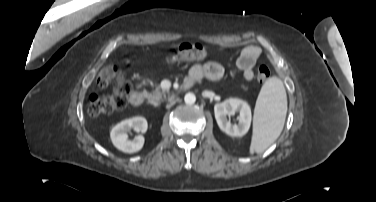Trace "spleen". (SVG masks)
I'll use <instances>...</instances> for the list:
<instances>
[{"label":"spleen","mask_w":376,"mask_h":202,"mask_svg":"<svg viewBox=\"0 0 376 202\" xmlns=\"http://www.w3.org/2000/svg\"><path fill=\"white\" fill-rule=\"evenodd\" d=\"M287 113V96L278 77L262 86L254 109V126L250 153L262 152L281 134Z\"/></svg>","instance_id":"obj_1"}]
</instances>
